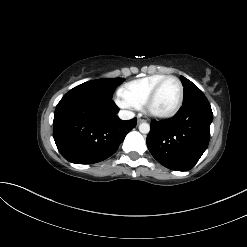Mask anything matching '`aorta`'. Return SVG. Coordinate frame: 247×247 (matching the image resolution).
Wrapping results in <instances>:
<instances>
[{"mask_svg": "<svg viewBox=\"0 0 247 247\" xmlns=\"http://www.w3.org/2000/svg\"><path fill=\"white\" fill-rule=\"evenodd\" d=\"M139 131L141 133H143V134L149 133V131H150V125L148 123H145V122L141 123L139 125Z\"/></svg>", "mask_w": 247, "mask_h": 247, "instance_id": "obj_1", "label": "aorta"}]
</instances>
